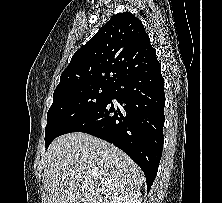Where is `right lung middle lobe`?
<instances>
[{
    "label": "right lung middle lobe",
    "instance_id": "1",
    "mask_svg": "<svg viewBox=\"0 0 222 203\" xmlns=\"http://www.w3.org/2000/svg\"><path fill=\"white\" fill-rule=\"evenodd\" d=\"M110 92V86L99 85L76 86L55 91L53 104L47 113L46 148L66 127L101 106L109 98Z\"/></svg>",
    "mask_w": 222,
    "mask_h": 203
}]
</instances>
